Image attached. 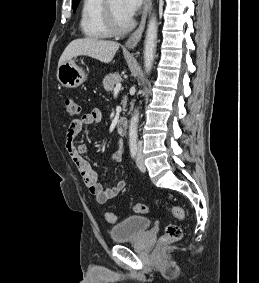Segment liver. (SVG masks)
Returning a JSON list of instances; mask_svg holds the SVG:
<instances>
[{
    "label": "liver",
    "mask_w": 259,
    "mask_h": 283,
    "mask_svg": "<svg viewBox=\"0 0 259 283\" xmlns=\"http://www.w3.org/2000/svg\"><path fill=\"white\" fill-rule=\"evenodd\" d=\"M118 49L119 44L113 41L101 40L94 37L75 39L65 48L59 59L58 66L79 55H87L103 63H109Z\"/></svg>",
    "instance_id": "liver-1"
}]
</instances>
